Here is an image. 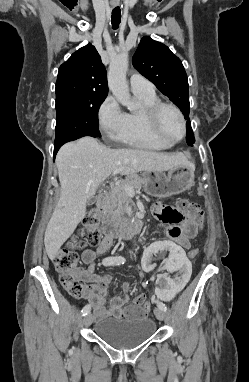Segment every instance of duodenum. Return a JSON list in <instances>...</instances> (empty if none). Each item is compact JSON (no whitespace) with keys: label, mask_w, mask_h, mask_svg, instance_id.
Masks as SVG:
<instances>
[{"label":"duodenum","mask_w":249,"mask_h":382,"mask_svg":"<svg viewBox=\"0 0 249 382\" xmlns=\"http://www.w3.org/2000/svg\"><path fill=\"white\" fill-rule=\"evenodd\" d=\"M98 210L104 213L107 209V195L100 193L97 203ZM143 227V221L141 218H130L127 220L111 219L107 218L103 222V230L106 236L112 238H129L136 235L141 231Z\"/></svg>","instance_id":"1"}]
</instances>
